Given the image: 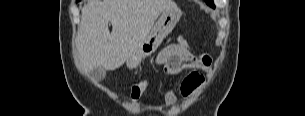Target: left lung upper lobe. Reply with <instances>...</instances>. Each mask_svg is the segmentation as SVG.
<instances>
[{
    "label": "left lung upper lobe",
    "mask_w": 305,
    "mask_h": 116,
    "mask_svg": "<svg viewBox=\"0 0 305 116\" xmlns=\"http://www.w3.org/2000/svg\"><path fill=\"white\" fill-rule=\"evenodd\" d=\"M206 2H207L208 4H211V3H212V0H206Z\"/></svg>",
    "instance_id": "obj_1"
}]
</instances>
